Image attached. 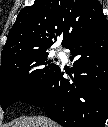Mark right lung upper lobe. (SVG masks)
I'll return each instance as SVG.
<instances>
[{
	"instance_id": "1",
	"label": "right lung upper lobe",
	"mask_w": 108,
	"mask_h": 127,
	"mask_svg": "<svg viewBox=\"0 0 108 127\" xmlns=\"http://www.w3.org/2000/svg\"><path fill=\"white\" fill-rule=\"evenodd\" d=\"M104 17L97 0H35L32 6L20 11L9 31L1 65L46 52L61 34L62 45L66 47Z\"/></svg>"
}]
</instances>
